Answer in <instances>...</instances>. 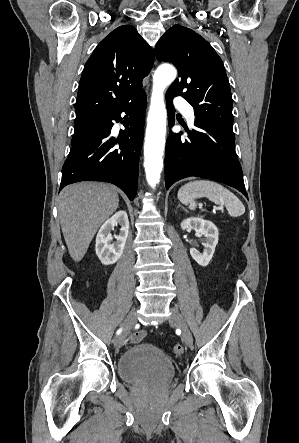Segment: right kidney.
<instances>
[{
  "mask_svg": "<svg viewBox=\"0 0 299 443\" xmlns=\"http://www.w3.org/2000/svg\"><path fill=\"white\" fill-rule=\"evenodd\" d=\"M118 224L121 226L120 234L115 237L116 242L111 243L113 239L111 230ZM128 232L129 220L124 210L116 212L101 226L96 237L95 250L104 265H111L119 260L125 248Z\"/></svg>",
  "mask_w": 299,
  "mask_h": 443,
  "instance_id": "right-kidney-1",
  "label": "right kidney"
}]
</instances>
